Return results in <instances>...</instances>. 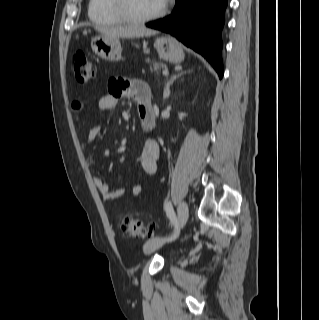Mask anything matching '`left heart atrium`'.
I'll list each match as a JSON object with an SVG mask.
<instances>
[{
    "label": "left heart atrium",
    "instance_id": "39dd6f15",
    "mask_svg": "<svg viewBox=\"0 0 319 320\" xmlns=\"http://www.w3.org/2000/svg\"><path fill=\"white\" fill-rule=\"evenodd\" d=\"M166 2H167V0H160V3H161L162 5H165Z\"/></svg>",
    "mask_w": 319,
    "mask_h": 320
}]
</instances>
